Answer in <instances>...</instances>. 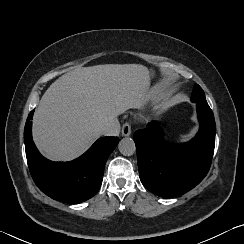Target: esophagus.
Instances as JSON below:
<instances>
[{
    "instance_id": "34e87169",
    "label": "esophagus",
    "mask_w": 244,
    "mask_h": 244,
    "mask_svg": "<svg viewBox=\"0 0 244 244\" xmlns=\"http://www.w3.org/2000/svg\"><path fill=\"white\" fill-rule=\"evenodd\" d=\"M131 133V127L128 123H125L122 127V135L128 136Z\"/></svg>"
}]
</instances>
